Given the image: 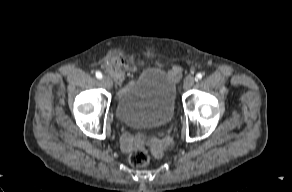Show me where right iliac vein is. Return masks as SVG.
Masks as SVG:
<instances>
[{
    "label": "right iliac vein",
    "instance_id": "obj_1",
    "mask_svg": "<svg viewBox=\"0 0 292 192\" xmlns=\"http://www.w3.org/2000/svg\"><path fill=\"white\" fill-rule=\"evenodd\" d=\"M102 84L107 88V89H111L112 88V81L109 77L104 76L102 78Z\"/></svg>",
    "mask_w": 292,
    "mask_h": 192
}]
</instances>
